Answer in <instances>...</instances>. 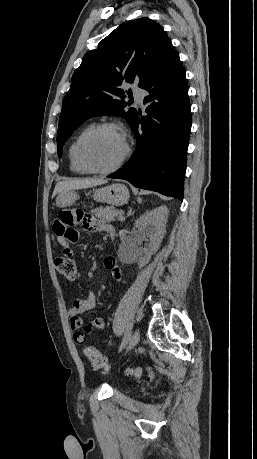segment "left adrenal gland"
I'll use <instances>...</instances> for the list:
<instances>
[{
  "label": "left adrenal gland",
  "instance_id": "obj_1",
  "mask_svg": "<svg viewBox=\"0 0 257 459\" xmlns=\"http://www.w3.org/2000/svg\"><path fill=\"white\" fill-rule=\"evenodd\" d=\"M128 213H129V215H130V214L132 213V210L130 209Z\"/></svg>",
  "mask_w": 257,
  "mask_h": 459
}]
</instances>
